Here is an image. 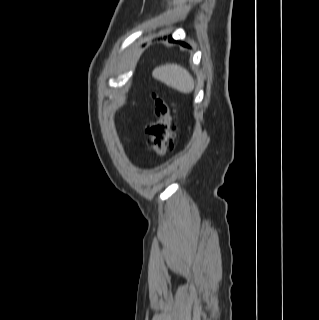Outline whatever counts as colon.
<instances>
[{
  "instance_id": "colon-1",
  "label": "colon",
  "mask_w": 319,
  "mask_h": 320,
  "mask_svg": "<svg viewBox=\"0 0 319 320\" xmlns=\"http://www.w3.org/2000/svg\"><path fill=\"white\" fill-rule=\"evenodd\" d=\"M154 119L148 128L149 148L157 156L163 157L174 147L178 122L173 117L170 105L158 95H154Z\"/></svg>"
}]
</instances>
